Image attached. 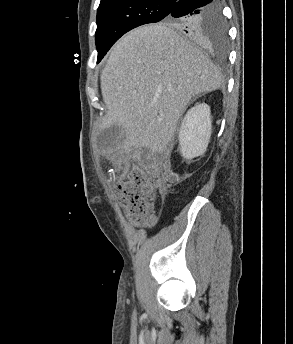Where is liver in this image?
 <instances>
[{
    "instance_id": "obj_1",
    "label": "liver",
    "mask_w": 293,
    "mask_h": 344,
    "mask_svg": "<svg viewBox=\"0 0 293 344\" xmlns=\"http://www.w3.org/2000/svg\"><path fill=\"white\" fill-rule=\"evenodd\" d=\"M105 126L118 125L132 146L162 154L193 97L217 90V67L173 28L158 24L132 30L114 46L101 73ZM169 153V152H168Z\"/></svg>"
}]
</instances>
